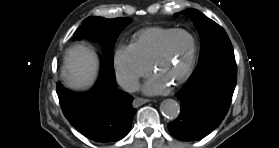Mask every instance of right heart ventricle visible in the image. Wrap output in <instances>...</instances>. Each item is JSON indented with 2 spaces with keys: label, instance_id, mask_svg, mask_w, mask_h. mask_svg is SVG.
Wrapping results in <instances>:
<instances>
[{
  "label": "right heart ventricle",
  "instance_id": "1",
  "mask_svg": "<svg viewBox=\"0 0 279 148\" xmlns=\"http://www.w3.org/2000/svg\"><path fill=\"white\" fill-rule=\"evenodd\" d=\"M173 30L161 27L144 29L136 35L131 46L140 59L150 66L163 40Z\"/></svg>",
  "mask_w": 279,
  "mask_h": 148
}]
</instances>
